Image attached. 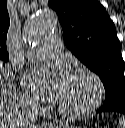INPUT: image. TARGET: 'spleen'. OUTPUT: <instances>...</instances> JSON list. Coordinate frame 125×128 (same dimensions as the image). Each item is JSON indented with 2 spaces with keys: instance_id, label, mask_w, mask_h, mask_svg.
Instances as JSON below:
<instances>
[{
  "instance_id": "obj_1",
  "label": "spleen",
  "mask_w": 125,
  "mask_h": 128,
  "mask_svg": "<svg viewBox=\"0 0 125 128\" xmlns=\"http://www.w3.org/2000/svg\"><path fill=\"white\" fill-rule=\"evenodd\" d=\"M118 128H125V117H121L119 119V126Z\"/></svg>"
}]
</instances>
